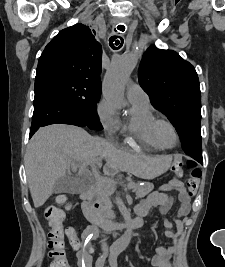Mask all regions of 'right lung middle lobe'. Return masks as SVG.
Returning a JSON list of instances; mask_svg holds the SVG:
<instances>
[{"instance_id": "right-lung-middle-lobe-1", "label": "right lung middle lobe", "mask_w": 225, "mask_h": 267, "mask_svg": "<svg viewBox=\"0 0 225 267\" xmlns=\"http://www.w3.org/2000/svg\"><path fill=\"white\" fill-rule=\"evenodd\" d=\"M38 81L47 84L61 95L67 104L83 118L90 129H103L97 115L101 87L84 80L61 75L46 76Z\"/></svg>"}]
</instances>
